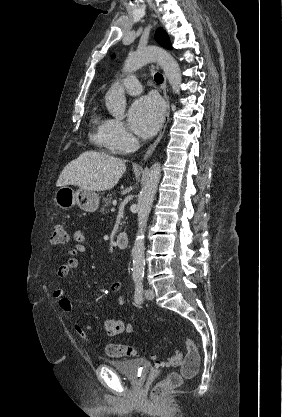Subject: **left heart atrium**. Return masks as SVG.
<instances>
[{"mask_svg": "<svg viewBox=\"0 0 282 417\" xmlns=\"http://www.w3.org/2000/svg\"><path fill=\"white\" fill-rule=\"evenodd\" d=\"M163 116V104L154 96L137 100L129 110V125L139 136H150L159 127Z\"/></svg>", "mask_w": 282, "mask_h": 417, "instance_id": "left-heart-atrium-1", "label": "left heart atrium"}]
</instances>
